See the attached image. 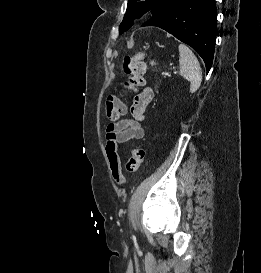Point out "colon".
I'll return each mask as SVG.
<instances>
[{"label": "colon", "mask_w": 261, "mask_h": 273, "mask_svg": "<svg viewBox=\"0 0 261 273\" xmlns=\"http://www.w3.org/2000/svg\"><path fill=\"white\" fill-rule=\"evenodd\" d=\"M145 52L140 51L132 56H126L123 60V70L128 79L124 82L126 90H135L141 87L144 82L146 72V62L144 60ZM126 112L124 102L117 96H109L105 103V114L110 121H116ZM145 152L141 148H134L126 164V170L129 173L136 172L144 160Z\"/></svg>", "instance_id": "1"}]
</instances>
